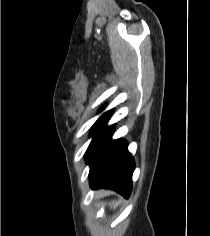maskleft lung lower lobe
I'll list each match as a JSON object with an SVG mask.
<instances>
[{"label":"left lung lower lobe","mask_w":210,"mask_h":236,"mask_svg":"<svg viewBox=\"0 0 210 236\" xmlns=\"http://www.w3.org/2000/svg\"><path fill=\"white\" fill-rule=\"evenodd\" d=\"M112 110L103 114L93 125V140L85 158L90 165L89 180L92 188H111L129 197L132 189L134 159L124 140H111L113 126L105 127Z\"/></svg>","instance_id":"obj_1"}]
</instances>
